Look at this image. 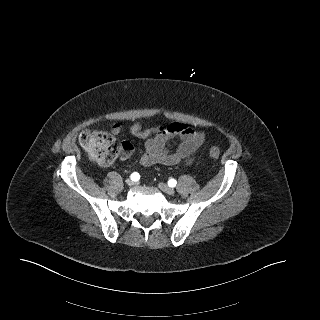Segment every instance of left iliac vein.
<instances>
[{"mask_svg":"<svg viewBox=\"0 0 320 320\" xmlns=\"http://www.w3.org/2000/svg\"><path fill=\"white\" fill-rule=\"evenodd\" d=\"M158 187L165 193L169 194V195H174L175 194V190L173 188H171L170 186H168L165 183L160 182L158 184Z\"/></svg>","mask_w":320,"mask_h":320,"instance_id":"1","label":"left iliac vein"}]
</instances>
